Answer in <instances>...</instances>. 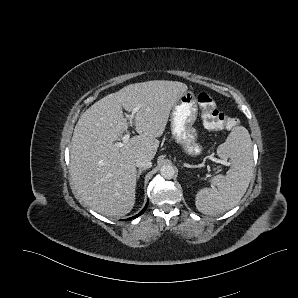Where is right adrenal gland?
Masks as SVG:
<instances>
[{
    "instance_id": "2a0ac1e0",
    "label": "right adrenal gland",
    "mask_w": 298,
    "mask_h": 298,
    "mask_svg": "<svg viewBox=\"0 0 298 298\" xmlns=\"http://www.w3.org/2000/svg\"><path fill=\"white\" fill-rule=\"evenodd\" d=\"M144 170H146V169H144V168H140V169L138 170V173H137V179L140 178V176H141V174H142V172H143Z\"/></svg>"
}]
</instances>
